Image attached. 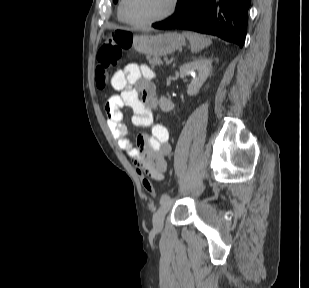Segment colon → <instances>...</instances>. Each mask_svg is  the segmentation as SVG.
Wrapping results in <instances>:
<instances>
[{"mask_svg": "<svg viewBox=\"0 0 309 288\" xmlns=\"http://www.w3.org/2000/svg\"><path fill=\"white\" fill-rule=\"evenodd\" d=\"M132 44V35L125 30H118L114 32L108 39L103 41L97 51V67L95 75L96 87L100 90L105 89L110 81L109 72L114 68L125 51H127ZM138 172L142 173L140 166H136ZM142 185L144 189L152 196H156L155 189L151 181L143 176Z\"/></svg>", "mask_w": 309, "mask_h": 288, "instance_id": "obj_1", "label": "colon"}]
</instances>
